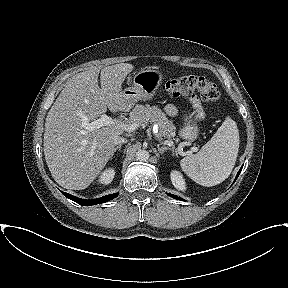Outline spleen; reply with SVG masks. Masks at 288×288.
I'll return each instance as SVG.
<instances>
[{
  "label": "spleen",
  "mask_w": 288,
  "mask_h": 288,
  "mask_svg": "<svg viewBox=\"0 0 288 288\" xmlns=\"http://www.w3.org/2000/svg\"><path fill=\"white\" fill-rule=\"evenodd\" d=\"M239 149V131L236 122L227 117L217 132L201 150L180 161L182 170L202 186L223 182L232 172Z\"/></svg>",
  "instance_id": "spleen-1"
}]
</instances>
